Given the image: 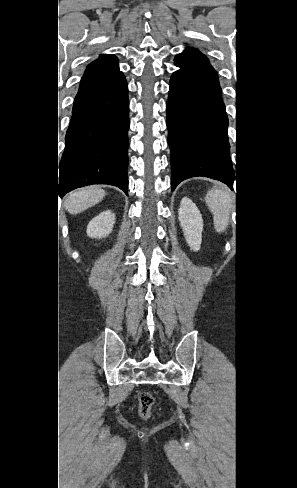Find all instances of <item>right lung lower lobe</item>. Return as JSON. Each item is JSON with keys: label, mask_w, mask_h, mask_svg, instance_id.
Masks as SVG:
<instances>
[{"label": "right lung lower lobe", "mask_w": 297, "mask_h": 488, "mask_svg": "<svg viewBox=\"0 0 297 488\" xmlns=\"http://www.w3.org/2000/svg\"><path fill=\"white\" fill-rule=\"evenodd\" d=\"M128 113L124 75L96 94L74 102L60 163L61 197L91 184L114 185L128 194Z\"/></svg>", "instance_id": "right-lung-lower-lobe-1"}]
</instances>
